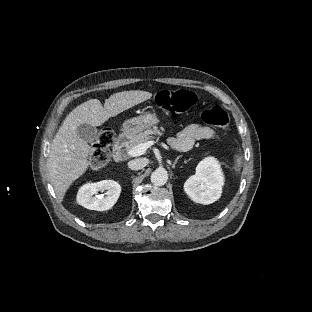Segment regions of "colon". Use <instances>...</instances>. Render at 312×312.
Segmentation results:
<instances>
[{
    "instance_id": "colon-1",
    "label": "colon",
    "mask_w": 312,
    "mask_h": 312,
    "mask_svg": "<svg viewBox=\"0 0 312 312\" xmlns=\"http://www.w3.org/2000/svg\"><path fill=\"white\" fill-rule=\"evenodd\" d=\"M195 103V97L191 91H161L156 100V104L164 111L174 114H184ZM202 120L211 126H215L223 131H230V120L223 108L214 106L202 113ZM115 139V133L108 127L102 128L97 135L93 149L89 156V161L93 166H102L110 160V149Z\"/></svg>"
}]
</instances>
